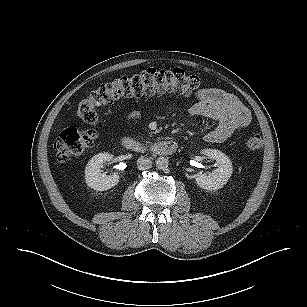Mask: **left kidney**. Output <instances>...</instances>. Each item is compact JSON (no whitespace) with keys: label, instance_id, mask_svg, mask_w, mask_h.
Segmentation results:
<instances>
[{"label":"left kidney","instance_id":"left-kidney-1","mask_svg":"<svg viewBox=\"0 0 307 307\" xmlns=\"http://www.w3.org/2000/svg\"><path fill=\"white\" fill-rule=\"evenodd\" d=\"M202 153L207 155L208 158L216 160L217 168L209 174H197L196 183L199 187L215 191L222 188L229 180L232 174V162L227 155L219 150L204 149Z\"/></svg>","mask_w":307,"mask_h":307}]
</instances>
